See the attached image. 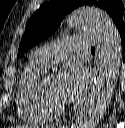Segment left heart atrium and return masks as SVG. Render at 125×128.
<instances>
[{
	"instance_id": "left-heart-atrium-1",
	"label": "left heart atrium",
	"mask_w": 125,
	"mask_h": 128,
	"mask_svg": "<svg viewBox=\"0 0 125 128\" xmlns=\"http://www.w3.org/2000/svg\"><path fill=\"white\" fill-rule=\"evenodd\" d=\"M89 75L86 69L77 62L67 63L57 79L58 93L65 103L79 100L89 85Z\"/></svg>"
}]
</instances>
